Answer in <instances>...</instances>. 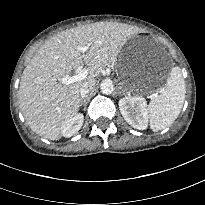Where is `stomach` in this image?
<instances>
[{
	"label": "stomach",
	"mask_w": 205,
	"mask_h": 205,
	"mask_svg": "<svg viewBox=\"0 0 205 205\" xmlns=\"http://www.w3.org/2000/svg\"><path fill=\"white\" fill-rule=\"evenodd\" d=\"M158 54V46L148 36H137L125 43L117 57V69L127 90L152 93L159 89V84L152 83L141 73L142 68L155 63Z\"/></svg>",
	"instance_id": "0dacf381"
}]
</instances>
